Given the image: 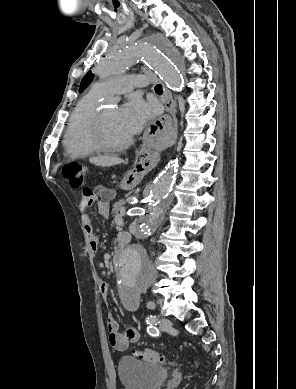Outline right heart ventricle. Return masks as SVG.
I'll list each match as a JSON object with an SVG mask.
<instances>
[{
  "label": "right heart ventricle",
  "mask_w": 296,
  "mask_h": 389,
  "mask_svg": "<svg viewBox=\"0 0 296 389\" xmlns=\"http://www.w3.org/2000/svg\"><path fill=\"white\" fill-rule=\"evenodd\" d=\"M100 97L90 91L72 113L63 141L68 156L87 158L99 152L93 142V127Z\"/></svg>",
  "instance_id": "1"
}]
</instances>
